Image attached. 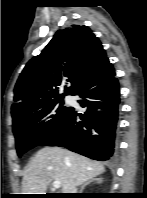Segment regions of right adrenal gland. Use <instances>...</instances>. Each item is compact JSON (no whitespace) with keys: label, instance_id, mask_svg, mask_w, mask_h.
Returning a JSON list of instances; mask_svg holds the SVG:
<instances>
[{"label":"right adrenal gland","instance_id":"right-adrenal-gland-1","mask_svg":"<svg viewBox=\"0 0 147 198\" xmlns=\"http://www.w3.org/2000/svg\"><path fill=\"white\" fill-rule=\"evenodd\" d=\"M93 182L101 183V182H102V179H101V178H96V179H92V180H89V181L85 182V183L81 186V189H80L79 193H83L84 188H85L87 185H89L90 183H93Z\"/></svg>","mask_w":147,"mask_h":198}]
</instances>
